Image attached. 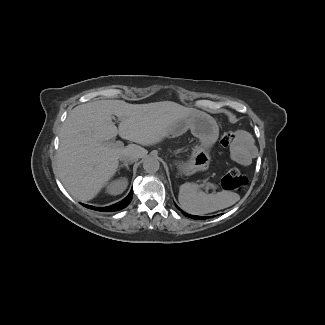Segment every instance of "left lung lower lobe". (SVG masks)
<instances>
[{
	"instance_id": "1",
	"label": "left lung lower lobe",
	"mask_w": 325,
	"mask_h": 325,
	"mask_svg": "<svg viewBox=\"0 0 325 325\" xmlns=\"http://www.w3.org/2000/svg\"><path fill=\"white\" fill-rule=\"evenodd\" d=\"M184 215H186L187 217H191L193 219H207L208 217L207 216H195V215H189V214H186L184 213L183 211H181Z\"/></svg>"
}]
</instances>
